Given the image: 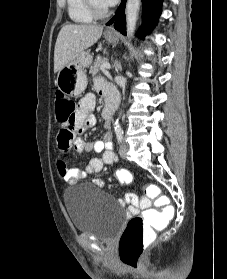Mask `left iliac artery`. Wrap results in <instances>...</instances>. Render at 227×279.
Here are the masks:
<instances>
[{
  "mask_svg": "<svg viewBox=\"0 0 227 279\" xmlns=\"http://www.w3.org/2000/svg\"><path fill=\"white\" fill-rule=\"evenodd\" d=\"M116 137L119 143L123 141V130L122 129H117L116 130Z\"/></svg>",
  "mask_w": 227,
  "mask_h": 279,
  "instance_id": "44dca946",
  "label": "left iliac artery"
}]
</instances>
